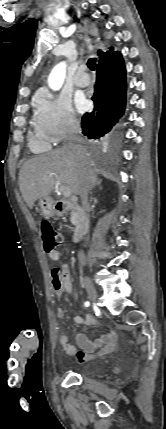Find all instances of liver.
<instances>
[{
	"label": "liver",
	"instance_id": "6515ba94",
	"mask_svg": "<svg viewBox=\"0 0 166 429\" xmlns=\"http://www.w3.org/2000/svg\"><path fill=\"white\" fill-rule=\"evenodd\" d=\"M85 162L91 166L90 154L84 148ZM83 161L68 149L58 148L47 154L27 160L19 172V187L29 208L41 197H48L55 187V177L80 194Z\"/></svg>",
	"mask_w": 166,
	"mask_h": 429
}]
</instances>
